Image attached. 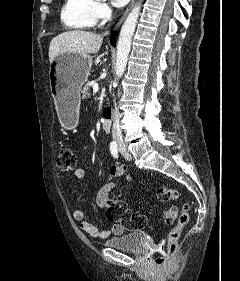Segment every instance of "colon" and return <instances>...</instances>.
<instances>
[{"instance_id":"obj_1","label":"colon","mask_w":240,"mask_h":281,"mask_svg":"<svg viewBox=\"0 0 240 281\" xmlns=\"http://www.w3.org/2000/svg\"><path fill=\"white\" fill-rule=\"evenodd\" d=\"M77 166V158L71 149H61L57 157V167L63 172L73 171ZM157 196L161 201H174L178 199L179 193L176 189L160 187ZM189 204L184 203L180 208L171 206L163 212V217L167 222H173L178 218L177 224L169 231L167 241L158 245L156 249L155 264L158 267H166L170 264L172 256L175 254L182 235L183 228L189 220ZM107 218L121 225L127 230L143 229L146 218L137 213L129 211L127 205L121 201H108L106 208Z\"/></svg>"}]
</instances>
